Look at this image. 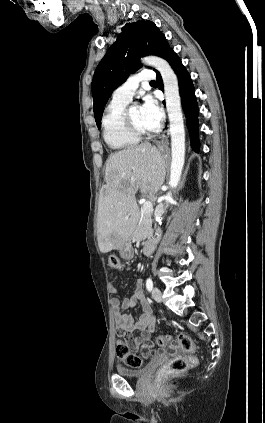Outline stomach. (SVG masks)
<instances>
[{
    "instance_id": "stomach-1",
    "label": "stomach",
    "mask_w": 265,
    "mask_h": 423,
    "mask_svg": "<svg viewBox=\"0 0 265 423\" xmlns=\"http://www.w3.org/2000/svg\"><path fill=\"white\" fill-rule=\"evenodd\" d=\"M120 256L124 259L130 260L134 256L132 244L130 240H126L119 248Z\"/></svg>"
}]
</instances>
